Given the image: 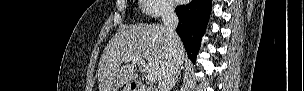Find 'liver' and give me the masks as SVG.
Masks as SVG:
<instances>
[{
    "label": "liver",
    "mask_w": 304,
    "mask_h": 91,
    "mask_svg": "<svg viewBox=\"0 0 304 91\" xmlns=\"http://www.w3.org/2000/svg\"><path fill=\"white\" fill-rule=\"evenodd\" d=\"M135 56L147 61L146 72L159 81L167 68L171 55L164 25L140 24L120 28L105 47L98 65L99 91H118L124 84L137 78L139 64H122V58ZM177 61L182 67L187 55L181 40L177 43Z\"/></svg>",
    "instance_id": "liver-1"
}]
</instances>
